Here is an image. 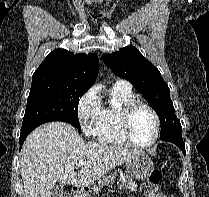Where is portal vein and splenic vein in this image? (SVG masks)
<instances>
[{"instance_id": "18ae733b", "label": "portal vein and splenic vein", "mask_w": 209, "mask_h": 197, "mask_svg": "<svg viewBox=\"0 0 209 197\" xmlns=\"http://www.w3.org/2000/svg\"><path fill=\"white\" fill-rule=\"evenodd\" d=\"M85 164V162H84V160H80L79 162H78V167H81V166H83Z\"/></svg>"}]
</instances>
